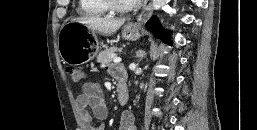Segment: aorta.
I'll return each mask as SVG.
<instances>
[{
	"label": "aorta",
	"instance_id": "obj_1",
	"mask_svg": "<svg viewBox=\"0 0 257 130\" xmlns=\"http://www.w3.org/2000/svg\"><path fill=\"white\" fill-rule=\"evenodd\" d=\"M165 2H166L165 0H153V3H152L153 8L157 10L161 8L165 4Z\"/></svg>",
	"mask_w": 257,
	"mask_h": 130
}]
</instances>
